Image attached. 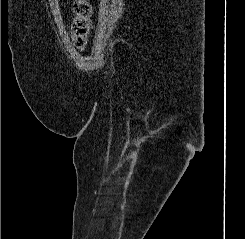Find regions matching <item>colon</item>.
Returning a JSON list of instances; mask_svg holds the SVG:
<instances>
[{
    "label": "colon",
    "mask_w": 245,
    "mask_h": 239,
    "mask_svg": "<svg viewBox=\"0 0 245 239\" xmlns=\"http://www.w3.org/2000/svg\"><path fill=\"white\" fill-rule=\"evenodd\" d=\"M73 21L71 37L76 48L83 50L92 30L94 8L89 0H74L72 5Z\"/></svg>",
    "instance_id": "obj_1"
}]
</instances>
